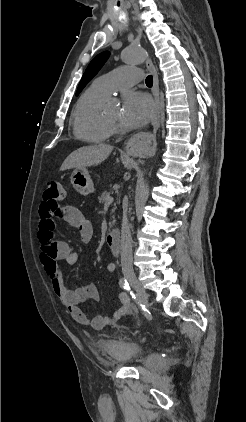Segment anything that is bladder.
Wrapping results in <instances>:
<instances>
[{"instance_id":"31cf9c89","label":"bladder","mask_w":246,"mask_h":422,"mask_svg":"<svg viewBox=\"0 0 246 422\" xmlns=\"http://www.w3.org/2000/svg\"><path fill=\"white\" fill-rule=\"evenodd\" d=\"M98 350L106 358L122 363L138 360L141 356V346L138 342L120 338L100 341ZM151 361L155 365H161L164 357L161 353L155 352L151 355Z\"/></svg>"}]
</instances>
